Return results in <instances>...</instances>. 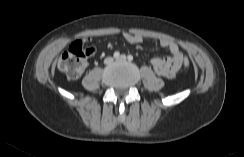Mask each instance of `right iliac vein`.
<instances>
[{
  "label": "right iliac vein",
  "instance_id": "1",
  "mask_svg": "<svg viewBox=\"0 0 244 157\" xmlns=\"http://www.w3.org/2000/svg\"><path fill=\"white\" fill-rule=\"evenodd\" d=\"M113 62V58L112 57H107L105 60H104V63L105 64H111Z\"/></svg>",
  "mask_w": 244,
  "mask_h": 157
}]
</instances>
